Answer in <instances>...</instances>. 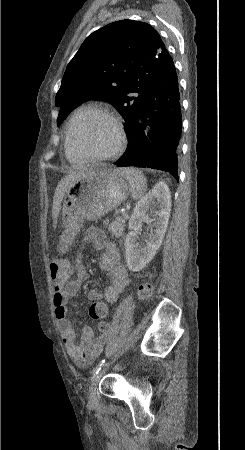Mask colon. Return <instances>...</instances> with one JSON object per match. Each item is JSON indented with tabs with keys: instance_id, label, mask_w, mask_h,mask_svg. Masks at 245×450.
Masks as SVG:
<instances>
[{
	"instance_id": "colon-1",
	"label": "colon",
	"mask_w": 245,
	"mask_h": 450,
	"mask_svg": "<svg viewBox=\"0 0 245 450\" xmlns=\"http://www.w3.org/2000/svg\"><path fill=\"white\" fill-rule=\"evenodd\" d=\"M61 266L60 260L56 255L51 257V267L54 272ZM153 286L149 279L144 280L137 289V297L140 300H147L152 294ZM109 307L105 302H93L89 309V315L94 320H103L109 316Z\"/></svg>"
}]
</instances>
